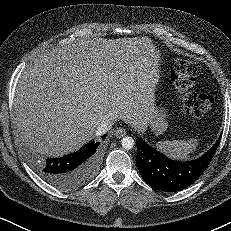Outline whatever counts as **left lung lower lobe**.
Masks as SVG:
<instances>
[{"instance_id":"left-lung-lower-lobe-1","label":"left lung lower lobe","mask_w":231,"mask_h":231,"mask_svg":"<svg viewBox=\"0 0 231 231\" xmlns=\"http://www.w3.org/2000/svg\"><path fill=\"white\" fill-rule=\"evenodd\" d=\"M220 137L204 155L185 162L171 160L145 141L137 139V167L142 178L157 190L175 192L184 189L206 170L219 145Z\"/></svg>"}]
</instances>
